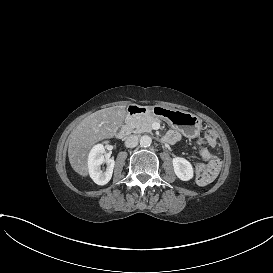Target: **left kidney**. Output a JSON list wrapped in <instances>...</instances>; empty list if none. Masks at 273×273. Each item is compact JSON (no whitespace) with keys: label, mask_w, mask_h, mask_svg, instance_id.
Segmentation results:
<instances>
[{"label":"left kidney","mask_w":273,"mask_h":273,"mask_svg":"<svg viewBox=\"0 0 273 273\" xmlns=\"http://www.w3.org/2000/svg\"><path fill=\"white\" fill-rule=\"evenodd\" d=\"M174 172L183 181H188L193 177V168L189 161L181 157L173 159Z\"/></svg>","instance_id":"1"}]
</instances>
